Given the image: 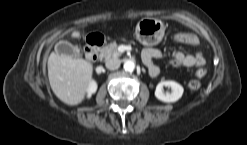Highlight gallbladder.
I'll use <instances>...</instances> for the list:
<instances>
[{
  "label": "gallbladder",
  "instance_id": "obj_1",
  "mask_svg": "<svg viewBox=\"0 0 247 145\" xmlns=\"http://www.w3.org/2000/svg\"><path fill=\"white\" fill-rule=\"evenodd\" d=\"M55 51L59 55H67L71 58L82 56L80 50L67 41H60L55 45Z\"/></svg>",
  "mask_w": 247,
  "mask_h": 145
}]
</instances>
